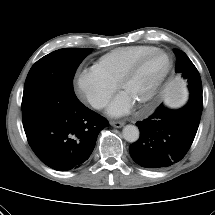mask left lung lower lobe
<instances>
[{
  "mask_svg": "<svg viewBox=\"0 0 215 215\" xmlns=\"http://www.w3.org/2000/svg\"><path fill=\"white\" fill-rule=\"evenodd\" d=\"M202 108V98L193 95L178 110L161 104L151 116L136 123L140 138L129 147L132 159L150 169L165 168L180 161L195 138Z\"/></svg>",
  "mask_w": 215,
  "mask_h": 215,
  "instance_id": "obj_1",
  "label": "left lung lower lobe"
}]
</instances>
